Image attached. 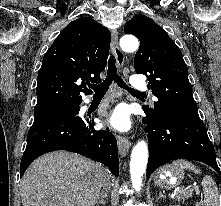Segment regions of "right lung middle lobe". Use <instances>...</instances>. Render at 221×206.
<instances>
[{"instance_id":"1","label":"right lung middle lobe","mask_w":221,"mask_h":206,"mask_svg":"<svg viewBox=\"0 0 221 206\" xmlns=\"http://www.w3.org/2000/svg\"><path fill=\"white\" fill-rule=\"evenodd\" d=\"M80 104L35 107L34 122L47 118L76 115Z\"/></svg>"}]
</instances>
